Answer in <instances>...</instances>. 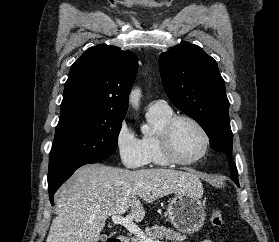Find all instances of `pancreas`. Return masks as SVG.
Listing matches in <instances>:
<instances>
[{
  "label": "pancreas",
  "instance_id": "1",
  "mask_svg": "<svg viewBox=\"0 0 279 242\" xmlns=\"http://www.w3.org/2000/svg\"><path fill=\"white\" fill-rule=\"evenodd\" d=\"M145 235L152 240H168L171 242H183L187 237L181 235V233L174 231L162 225H154L151 228L146 229ZM131 242H142L141 238L135 236Z\"/></svg>",
  "mask_w": 279,
  "mask_h": 242
}]
</instances>
